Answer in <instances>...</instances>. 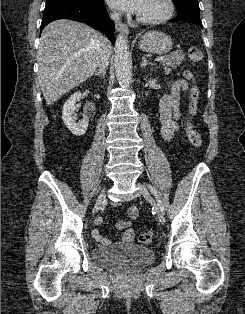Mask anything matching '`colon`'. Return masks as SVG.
<instances>
[{
    "instance_id": "obj_1",
    "label": "colon",
    "mask_w": 245,
    "mask_h": 314,
    "mask_svg": "<svg viewBox=\"0 0 245 314\" xmlns=\"http://www.w3.org/2000/svg\"><path fill=\"white\" fill-rule=\"evenodd\" d=\"M188 57H189V60L193 63L199 62L202 59V52L200 49L196 47H192L188 50ZM198 95H199V91L196 87H194L191 92V106H190V115L192 116L196 112V104H197ZM185 130H186V135L189 142L196 148L200 147L202 144L201 135L194 128L190 120L187 121ZM153 239H154L153 232L141 233L138 236V241L142 244H149L153 241Z\"/></svg>"
}]
</instances>
